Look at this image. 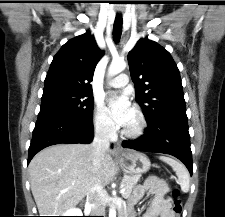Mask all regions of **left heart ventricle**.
I'll list each match as a JSON object with an SVG mask.
<instances>
[{
    "label": "left heart ventricle",
    "mask_w": 225,
    "mask_h": 217,
    "mask_svg": "<svg viewBox=\"0 0 225 217\" xmlns=\"http://www.w3.org/2000/svg\"><path fill=\"white\" fill-rule=\"evenodd\" d=\"M135 122H136V117L134 113L132 112L131 117L125 127H132L135 124Z\"/></svg>",
    "instance_id": "b2bd125f"
}]
</instances>
